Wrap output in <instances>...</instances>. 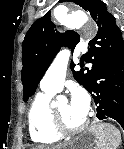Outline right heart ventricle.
<instances>
[{
	"instance_id": "1",
	"label": "right heart ventricle",
	"mask_w": 124,
	"mask_h": 149,
	"mask_svg": "<svg viewBox=\"0 0 124 149\" xmlns=\"http://www.w3.org/2000/svg\"><path fill=\"white\" fill-rule=\"evenodd\" d=\"M54 92L39 93L28 112V130L31 140L36 144L51 145L62 139L52 124L50 102Z\"/></svg>"
}]
</instances>
